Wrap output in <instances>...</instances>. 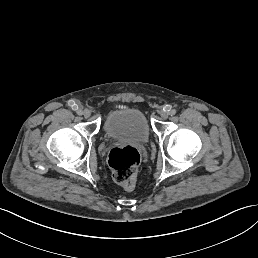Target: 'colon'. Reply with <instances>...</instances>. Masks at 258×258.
Returning <instances> with one entry per match:
<instances>
[{"instance_id": "5ec220e1", "label": "colon", "mask_w": 258, "mask_h": 258, "mask_svg": "<svg viewBox=\"0 0 258 258\" xmlns=\"http://www.w3.org/2000/svg\"><path fill=\"white\" fill-rule=\"evenodd\" d=\"M140 161L139 151L132 146L112 148L108 156V163L114 181L125 187L133 186Z\"/></svg>"}]
</instances>
